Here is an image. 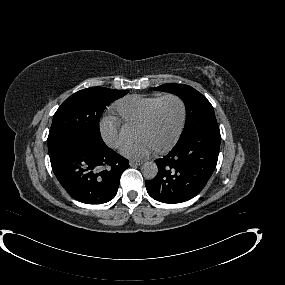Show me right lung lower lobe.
Instances as JSON below:
<instances>
[{
  "mask_svg": "<svg viewBox=\"0 0 285 285\" xmlns=\"http://www.w3.org/2000/svg\"><path fill=\"white\" fill-rule=\"evenodd\" d=\"M49 155L61 185L71 197L86 204L112 200L121 174L129 167L128 160L106 145L94 148L76 140L59 145Z\"/></svg>",
  "mask_w": 285,
  "mask_h": 285,
  "instance_id": "98d812e1",
  "label": "right lung lower lobe"
}]
</instances>
